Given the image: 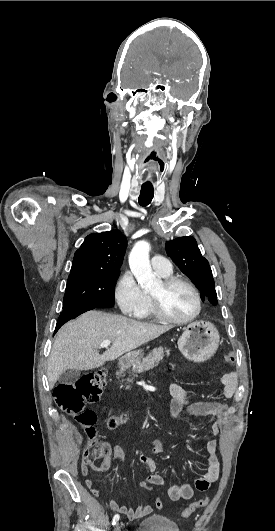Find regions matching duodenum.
<instances>
[{
  "label": "duodenum",
  "instance_id": "obj_1",
  "mask_svg": "<svg viewBox=\"0 0 275 531\" xmlns=\"http://www.w3.org/2000/svg\"><path fill=\"white\" fill-rule=\"evenodd\" d=\"M128 363H129V359L127 358V356L125 355L120 356L117 362V368H122L126 366Z\"/></svg>",
  "mask_w": 275,
  "mask_h": 531
}]
</instances>
